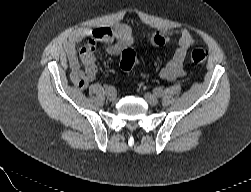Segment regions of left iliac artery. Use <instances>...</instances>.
<instances>
[{"instance_id":"1","label":"left iliac artery","mask_w":251,"mask_h":192,"mask_svg":"<svg viewBox=\"0 0 251 192\" xmlns=\"http://www.w3.org/2000/svg\"><path fill=\"white\" fill-rule=\"evenodd\" d=\"M153 92H154L155 95L158 96V97L162 96V94H163V90H162L161 88H155V89L153 90Z\"/></svg>"}]
</instances>
